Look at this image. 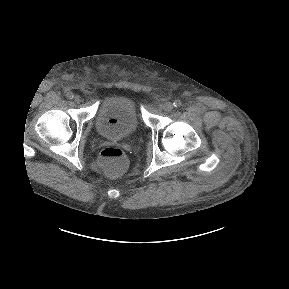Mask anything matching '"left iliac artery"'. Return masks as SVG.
Wrapping results in <instances>:
<instances>
[{
    "label": "left iliac artery",
    "mask_w": 289,
    "mask_h": 289,
    "mask_svg": "<svg viewBox=\"0 0 289 289\" xmlns=\"http://www.w3.org/2000/svg\"><path fill=\"white\" fill-rule=\"evenodd\" d=\"M173 105H174V107L178 108V107L182 106V101L177 99L174 101Z\"/></svg>",
    "instance_id": "1"
}]
</instances>
